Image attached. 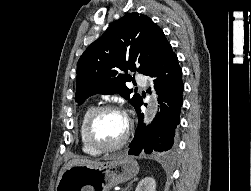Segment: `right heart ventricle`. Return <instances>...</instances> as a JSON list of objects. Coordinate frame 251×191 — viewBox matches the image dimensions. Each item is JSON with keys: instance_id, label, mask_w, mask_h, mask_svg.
Segmentation results:
<instances>
[{"instance_id": "obj_1", "label": "right heart ventricle", "mask_w": 251, "mask_h": 191, "mask_svg": "<svg viewBox=\"0 0 251 191\" xmlns=\"http://www.w3.org/2000/svg\"><path fill=\"white\" fill-rule=\"evenodd\" d=\"M93 109H94V106L91 104L85 108L80 118L79 129L77 133L78 134L77 143H78L79 150L83 155L88 156V157H97L100 155L99 152H96L90 149L89 147H87L83 140V124H84L85 119L87 118V116L90 114V112Z\"/></svg>"}]
</instances>
